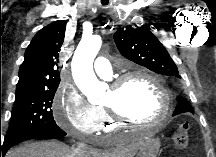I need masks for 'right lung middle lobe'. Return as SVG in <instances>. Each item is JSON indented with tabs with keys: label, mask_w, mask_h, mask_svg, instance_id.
<instances>
[{
	"label": "right lung middle lobe",
	"mask_w": 216,
	"mask_h": 157,
	"mask_svg": "<svg viewBox=\"0 0 216 157\" xmlns=\"http://www.w3.org/2000/svg\"><path fill=\"white\" fill-rule=\"evenodd\" d=\"M56 90L57 88L28 91L15 98L9 129L2 145L31 133L59 128L51 109Z\"/></svg>",
	"instance_id": "right-lung-middle-lobe-1"
}]
</instances>
